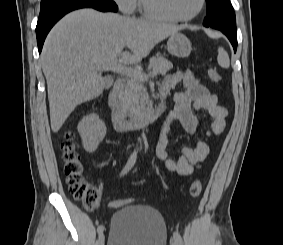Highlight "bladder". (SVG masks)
Segmentation results:
<instances>
[{
  "label": "bladder",
  "mask_w": 283,
  "mask_h": 245,
  "mask_svg": "<svg viewBox=\"0 0 283 245\" xmlns=\"http://www.w3.org/2000/svg\"><path fill=\"white\" fill-rule=\"evenodd\" d=\"M107 245H167L160 212L143 204H128L112 216Z\"/></svg>",
  "instance_id": "31cf9c89"
}]
</instances>
